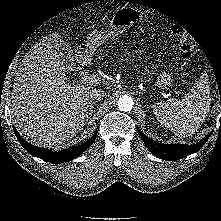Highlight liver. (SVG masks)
<instances>
[{"label": "liver", "instance_id": "6515ba94", "mask_svg": "<svg viewBox=\"0 0 221 221\" xmlns=\"http://www.w3.org/2000/svg\"><path fill=\"white\" fill-rule=\"evenodd\" d=\"M42 39L22 60L12 89L14 122L27 138L49 145L74 138L88 116L90 85L68 83L53 40Z\"/></svg>", "mask_w": 221, "mask_h": 221}]
</instances>
